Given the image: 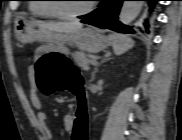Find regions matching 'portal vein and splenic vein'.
I'll use <instances>...</instances> for the list:
<instances>
[{
	"mask_svg": "<svg viewBox=\"0 0 182 140\" xmlns=\"http://www.w3.org/2000/svg\"><path fill=\"white\" fill-rule=\"evenodd\" d=\"M90 63L92 64V65H97V60L96 59H92L91 61H90Z\"/></svg>",
	"mask_w": 182,
	"mask_h": 140,
	"instance_id": "portal-vein-and-splenic-vein-1",
	"label": "portal vein and splenic vein"
}]
</instances>
